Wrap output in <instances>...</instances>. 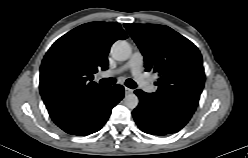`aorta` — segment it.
I'll return each instance as SVG.
<instances>
[{
  "mask_svg": "<svg viewBox=\"0 0 248 158\" xmlns=\"http://www.w3.org/2000/svg\"><path fill=\"white\" fill-rule=\"evenodd\" d=\"M111 55L115 60L125 61L129 59L131 55V47L125 40L116 41L111 47ZM138 97L131 93L125 96L124 104L129 109H135L138 106Z\"/></svg>",
  "mask_w": 248,
  "mask_h": 158,
  "instance_id": "aorta-1",
  "label": "aorta"
}]
</instances>
